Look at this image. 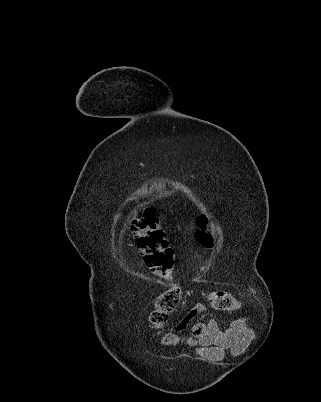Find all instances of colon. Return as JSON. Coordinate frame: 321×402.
Masks as SVG:
<instances>
[{"instance_id": "colon-1", "label": "colon", "mask_w": 321, "mask_h": 402, "mask_svg": "<svg viewBox=\"0 0 321 402\" xmlns=\"http://www.w3.org/2000/svg\"><path fill=\"white\" fill-rule=\"evenodd\" d=\"M208 220L207 215L199 217L197 240L202 247L211 249L214 239L207 231ZM130 226L146 265L155 275L168 281L174 265V251L164 231L159 227L156 211L153 208L144 209L141 214L130 219ZM209 301L216 310L223 312H234L239 308L237 298L231 292L224 290L211 291ZM179 302L180 290L176 287H171L160 294L155 299L150 314V322L153 327L162 329L178 307ZM180 340V336L174 333L163 335V342L166 345H175Z\"/></svg>"}]
</instances>
